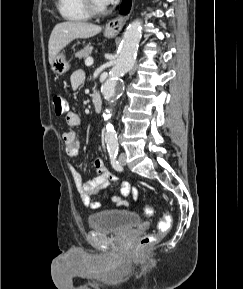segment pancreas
Returning <instances> with one entry per match:
<instances>
[{"label":"pancreas","instance_id":"cf45deb5","mask_svg":"<svg viewBox=\"0 0 243 289\" xmlns=\"http://www.w3.org/2000/svg\"><path fill=\"white\" fill-rule=\"evenodd\" d=\"M92 46L90 45H87L86 47H84L83 49H81L80 51H78L76 54H75V57L76 58H79V59H86L88 58L91 53H92Z\"/></svg>","mask_w":243,"mask_h":289}]
</instances>
